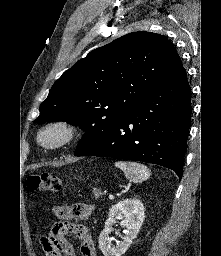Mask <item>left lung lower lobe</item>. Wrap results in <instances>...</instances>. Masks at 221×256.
I'll return each instance as SVG.
<instances>
[{"label":"left lung lower lobe","mask_w":221,"mask_h":256,"mask_svg":"<svg viewBox=\"0 0 221 256\" xmlns=\"http://www.w3.org/2000/svg\"><path fill=\"white\" fill-rule=\"evenodd\" d=\"M190 101L191 91L182 68L74 155L158 164L181 178L191 122Z\"/></svg>","instance_id":"1"}]
</instances>
